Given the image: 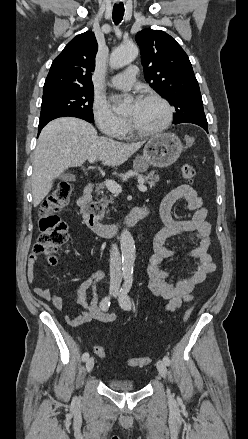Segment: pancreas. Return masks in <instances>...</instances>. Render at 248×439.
<instances>
[{
  "label": "pancreas",
  "instance_id": "obj_1",
  "mask_svg": "<svg viewBox=\"0 0 248 439\" xmlns=\"http://www.w3.org/2000/svg\"><path fill=\"white\" fill-rule=\"evenodd\" d=\"M134 175H136L139 179L142 180L143 183H147L149 184L151 187L155 185V183L159 180V176L155 174V171H151L149 174H147L146 176H143L141 174H138L137 171H133L132 172ZM105 186L104 184H99L96 187V192L98 194H100L101 190L104 189ZM114 199L110 198V200L107 199V197H103L101 199L98 200V203L101 204V206L103 208H106L108 206L109 203H113Z\"/></svg>",
  "mask_w": 248,
  "mask_h": 439
}]
</instances>
